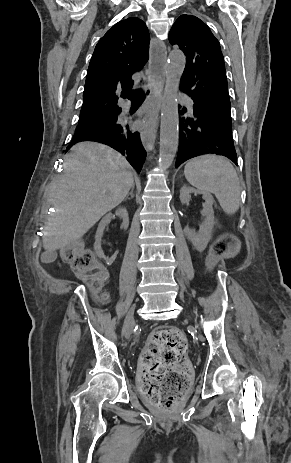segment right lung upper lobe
<instances>
[{
    "label": "right lung upper lobe",
    "instance_id": "1",
    "mask_svg": "<svg viewBox=\"0 0 291 463\" xmlns=\"http://www.w3.org/2000/svg\"><path fill=\"white\" fill-rule=\"evenodd\" d=\"M149 34L139 18L116 23L97 43L87 71L79 120L116 113V92L128 91L131 76L149 58Z\"/></svg>",
    "mask_w": 291,
    "mask_h": 463
}]
</instances>
